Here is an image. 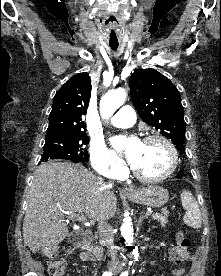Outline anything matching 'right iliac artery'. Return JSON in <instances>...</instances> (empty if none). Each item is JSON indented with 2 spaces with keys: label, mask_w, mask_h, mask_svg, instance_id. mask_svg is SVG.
Masks as SVG:
<instances>
[{
  "label": "right iliac artery",
  "mask_w": 221,
  "mask_h": 276,
  "mask_svg": "<svg viewBox=\"0 0 221 276\" xmlns=\"http://www.w3.org/2000/svg\"><path fill=\"white\" fill-rule=\"evenodd\" d=\"M111 275H112L111 272H105V273L103 274V276H111Z\"/></svg>",
  "instance_id": "obj_1"
}]
</instances>
